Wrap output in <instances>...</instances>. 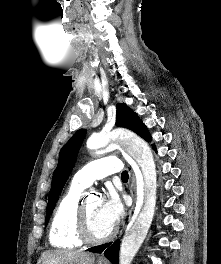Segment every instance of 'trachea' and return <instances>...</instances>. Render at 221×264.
I'll return each mask as SVG.
<instances>
[{
    "mask_svg": "<svg viewBox=\"0 0 221 264\" xmlns=\"http://www.w3.org/2000/svg\"><path fill=\"white\" fill-rule=\"evenodd\" d=\"M121 178L122 180H128V172L127 171H123L121 174Z\"/></svg>",
    "mask_w": 221,
    "mask_h": 264,
    "instance_id": "trachea-1",
    "label": "trachea"
}]
</instances>
